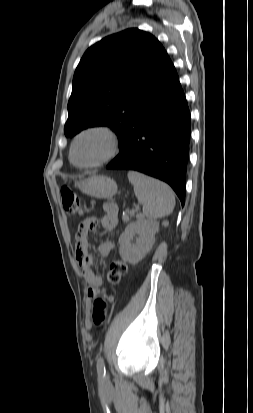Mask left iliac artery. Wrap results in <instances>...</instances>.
Wrapping results in <instances>:
<instances>
[{
    "mask_svg": "<svg viewBox=\"0 0 253 413\" xmlns=\"http://www.w3.org/2000/svg\"><path fill=\"white\" fill-rule=\"evenodd\" d=\"M97 372H98V375H99L101 378H105V376H106V369H105V364H104V360H103L102 357H99V358L97 359Z\"/></svg>",
    "mask_w": 253,
    "mask_h": 413,
    "instance_id": "obj_1",
    "label": "left iliac artery"
}]
</instances>
